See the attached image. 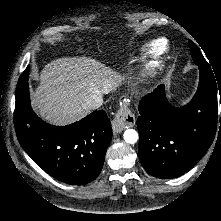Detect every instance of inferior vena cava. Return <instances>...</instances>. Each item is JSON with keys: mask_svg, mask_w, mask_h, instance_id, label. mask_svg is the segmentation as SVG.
<instances>
[{"mask_svg": "<svg viewBox=\"0 0 221 221\" xmlns=\"http://www.w3.org/2000/svg\"><path fill=\"white\" fill-rule=\"evenodd\" d=\"M103 104L102 93L98 92L86 98L85 103L83 104L84 108L87 109H97Z\"/></svg>", "mask_w": 221, "mask_h": 221, "instance_id": "inferior-vena-cava-1", "label": "inferior vena cava"}]
</instances>
